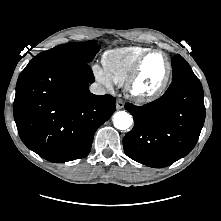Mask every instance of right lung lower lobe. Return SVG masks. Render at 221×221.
I'll return each instance as SVG.
<instances>
[{
    "instance_id": "1",
    "label": "right lung lower lobe",
    "mask_w": 221,
    "mask_h": 221,
    "mask_svg": "<svg viewBox=\"0 0 221 221\" xmlns=\"http://www.w3.org/2000/svg\"><path fill=\"white\" fill-rule=\"evenodd\" d=\"M88 63L31 60L19 75L13 105L23 143L42 158L63 163L85 157L95 131L115 111V98L89 92Z\"/></svg>"
}]
</instances>
